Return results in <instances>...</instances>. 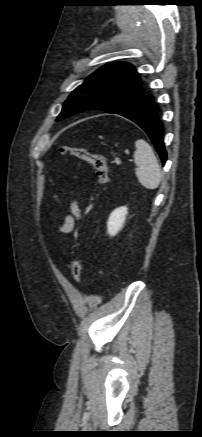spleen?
Wrapping results in <instances>:
<instances>
[{"label":"spleen","instance_id":"3e777b00","mask_svg":"<svg viewBox=\"0 0 202 437\" xmlns=\"http://www.w3.org/2000/svg\"><path fill=\"white\" fill-rule=\"evenodd\" d=\"M134 161L137 166L136 176L142 186L156 189L161 180V170L151 146L144 140L135 143Z\"/></svg>","mask_w":202,"mask_h":437}]
</instances>
